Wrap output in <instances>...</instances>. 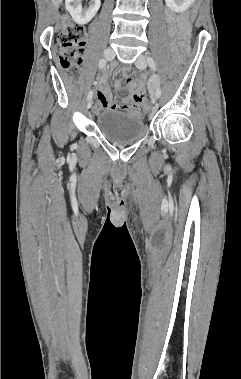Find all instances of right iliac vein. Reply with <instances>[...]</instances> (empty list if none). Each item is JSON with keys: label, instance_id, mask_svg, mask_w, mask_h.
<instances>
[{"label": "right iliac vein", "instance_id": "63e3f726", "mask_svg": "<svg viewBox=\"0 0 241 379\" xmlns=\"http://www.w3.org/2000/svg\"><path fill=\"white\" fill-rule=\"evenodd\" d=\"M104 57H105V59L108 60V61L113 60L114 57H115V53H114L113 49H111V48H106V49L104 50ZM92 103H93V101H92V99H90V100L88 101V103H87V108H88V109L91 108Z\"/></svg>", "mask_w": 241, "mask_h": 379}]
</instances>
